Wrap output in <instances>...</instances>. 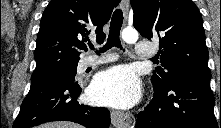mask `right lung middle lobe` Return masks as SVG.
Segmentation results:
<instances>
[{
	"instance_id": "dd1d6c3e",
	"label": "right lung middle lobe",
	"mask_w": 221,
	"mask_h": 128,
	"mask_svg": "<svg viewBox=\"0 0 221 128\" xmlns=\"http://www.w3.org/2000/svg\"><path fill=\"white\" fill-rule=\"evenodd\" d=\"M76 69H77V65H72V66H68V67L59 69V70H57V71H55L51 74H48V75L32 76L31 77V83L42 80V79L47 78L49 76H60V77H67V78H75Z\"/></svg>"
}]
</instances>
